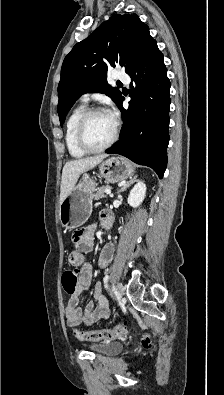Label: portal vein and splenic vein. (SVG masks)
Wrapping results in <instances>:
<instances>
[{
  "label": "portal vein and splenic vein",
  "instance_id": "obj_1",
  "mask_svg": "<svg viewBox=\"0 0 224 395\" xmlns=\"http://www.w3.org/2000/svg\"><path fill=\"white\" fill-rule=\"evenodd\" d=\"M105 193L111 195V189H106Z\"/></svg>",
  "mask_w": 224,
  "mask_h": 395
}]
</instances>
